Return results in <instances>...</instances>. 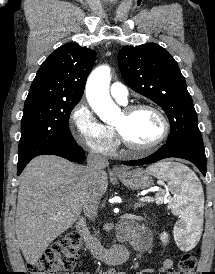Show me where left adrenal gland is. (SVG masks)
<instances>
[{
	"mask_svg": "<svg viewBox=\"0 0 215 274\" xmlns=\"http://www.w3.org/2000/svg\"><path fill=\"white\" fill-rule=\"evenodd\" d=\"M141 206H142V204L136 203V204L134 205V210L138 209V208L141 207Z\"/></svg>",
	"mask_w": 215,
	"mask_h": 274,
	"instance_id": "a2214340",
	"label": "left adrenal gland"
}]
</instances>
